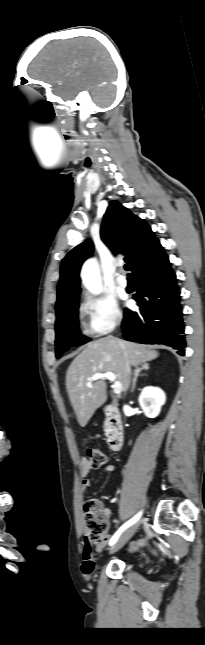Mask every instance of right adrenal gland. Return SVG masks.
<instances>
[{"mask_svg": "<svg viewBox=\"0 0 205 645\" xmlns=\"http://www.w3.org/2000/svg\"><path fill=\"white\" fill-rule=\"evenodd\" d=\"M149 368H150V367H149V364H147V363H143V364H141V366H140L139 368H136L135 373H134V378H133V383H132L131 392H134V389H135V386H136V382H137V378H138V376L140 375V372H141L142 370L147 371V370H149Z\"/></svg>", "mask_w": 205, "mask_h": 645, "instance_id": "1", "label": "right adrenal gland"}]
</instances>
